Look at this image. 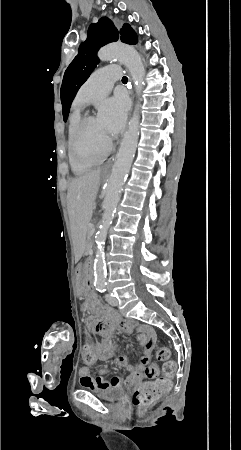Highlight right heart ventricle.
I'll use <instances>...</instances> for the list:
<instances>
[{
    "label": "right heart ventricle",
    "mask_w": 241,
    "mask_h": 450,
    "mask_svg": "<svg viewBox=\"0 0 241 450\" xmlns=\"http://www.w3.org/2000/svg\"><path fill=\"white\" fill-rule=\"evenodd\" d=\"M80 117H81V116H80L79 108H78V106H75V107H74V110H73V112H72V114H71V116H70V123H69V146H70V144H72V143L70 142V137L73 135V134H72L73 126H74L75 122H76ZM107 126H110V124H107ZM78 152H80V151H79V148H78ZM73 154H74V153H73V150L70 149V147H69V155H70V159H71L72 164H73L75 167H85V165L82 164L81 160H80V162H74V161H73V158H74V155H73ZM82 157H83V156H82ZM82 157H81L80 159H82ZM93 160L96 161V160H97V157H93Z\"/></svg>",
    "instance_id": "1"
}]
</instances>
